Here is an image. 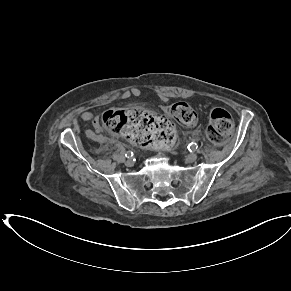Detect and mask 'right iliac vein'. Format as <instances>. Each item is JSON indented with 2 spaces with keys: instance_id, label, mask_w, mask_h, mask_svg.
<instances>
[{
  "instance_id": "obj_1",
  "label": "right iliac vein",
  "mask_w": 291,
  "mask_h": 291,
  "mask_svg": "<svg viewBox=\"0 0 291 291\" xmlns=\"http://www.w3.org/2000/svg\"><path fill=\"white\" fill-rule=\"evenodd\" d=\"M125 165H126L127 167H132V166L134 165V162H133L131 159H129V160H127V161L125 162Z\"/></svg>"
}]
</instances>
